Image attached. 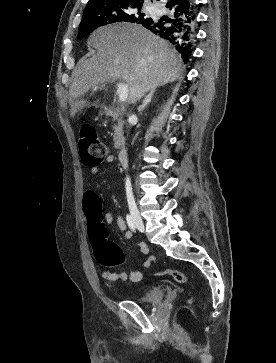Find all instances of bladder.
<instances>
[{
	"label": "bladder",
	"mask_w": 276,
	"mask_h": 363,
	"mask_svg": "<svg viewBox=\"0 0 276 363\" xmlns=\"http://www.w3.org/2000/svg\"><path fill=\"white\" fill-rule=\"evenodd\" d=\"M165 290L161 286H155L148 289L141 297L138 298L139 303H158L163 300Z\"/></svg>",
	"instance_id": "bladder-1"
}]
</instances>
